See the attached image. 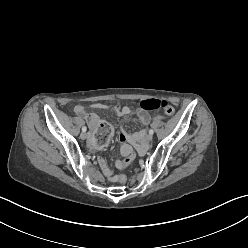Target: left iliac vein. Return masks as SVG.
<instances>
[{"instance_id": "obj_1", "label": "left iliac vein", "mask_w": 248, "mask_h": 248, "mask_svg": "<svg viewBox=\"0 0 248 248\" xmlns=\"http://www.w3.org/2000/svg\"><path fill=\"white\" fill-rule=\"evenodd\" d=\"M152 138H153L152 134H148L146 137L147 141L149 142L152 140Z\"/></svg>"}]
</instances>
